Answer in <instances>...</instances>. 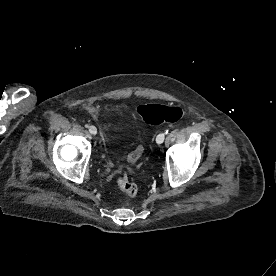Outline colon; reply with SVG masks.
Returning a JSON list of instances; mask_svg holds the SVG:
<instances>
[{"mask_svg":"<svg viewBox=\"0 0 276 276\" xmlns=\"http://www.w3.org/2000/svg\"><path fill=\"white\" fill-rule=\"evenodd\" d=\"M139 117L147 124L159 125L165 122H176L184 114V110L179 106L162 104H142L136 109ZM139 149L134 151V157L139 156ZM119 189L128 197H135L138 193L137 185L125 175L117 179Z\"/></svg>","mask_w":276,"mask_h":276,"instance_id":"5ec220e1","label":"colon"}]
</instances>
